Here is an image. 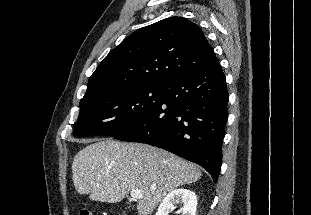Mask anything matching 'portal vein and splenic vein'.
<instances>
[{
	"mask_svg": "<svg viewBox=\"0 0 311 215\" xmlns=\"http://www.w3.org/2000/svg\"><path fill=\"white\" fill-rule=\"evenodd\" d=\"M130 195L133 199H140L142 197V193L138 189H132Z\"/></svg>",
	"mask_w": 311,
	"mask_h": 215,
	"instance_id": "1",
	"label": "portal vein and splenic vein"
}]
</instances>
